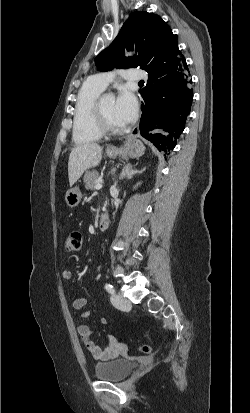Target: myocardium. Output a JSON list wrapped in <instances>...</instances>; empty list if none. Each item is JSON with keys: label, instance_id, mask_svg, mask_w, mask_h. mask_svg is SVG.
<instances>
[{"label": "myocardium", "instance_id": "f54148a6", "mask_svg": "<svg viewBox=\"0 0 250 413\" xmlns=\"http://www.w3.org/2000/svg\"><path fill=\"white\" fill-rule=\"evenodd\" d=\"M104 98L100 96L95 102V116L97 120V124L99 129L103 134H115L120 131V127L117 125L112 124L109 119L106 117L103 108H102V100Z\"/></svg>", "mask_w": 250, "mask_h": 413}]
</instances>
